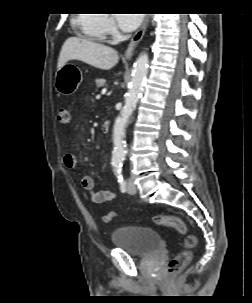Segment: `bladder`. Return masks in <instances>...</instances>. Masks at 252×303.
<instances>
[{
  "label": "bladder",
  "mask_w": 252,
  "mask_h": 303,
  "mask_svg": "<svg viewBox=\"0 0 252 303\" xmlns=\"http://www.w3.org/2000/svg\"><path fill=\"white\" fill-rule=\"evenodd\" d=\"M112 244L135 257H148L161 250L159 233L144 226H125L114 230Z\"/></svg>",
  "instance_id": "1"
}]
</instances>
